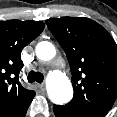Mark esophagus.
<instances>
[{"mask_svg":"<svg viewBox=\"0 0 117 117\" xmlns=\"http://www.w3.org/2000/svg\"><path fill=\"white\" fill-rule=\"evenodd\" d=\"M38 88H39V90L42 91V92L45 91V85H44V84H39V85H38Z\"/></svg>","mask_w":117,"mask_h":117,"instance_id":"1","label":"esophagus"}]
</instances>
